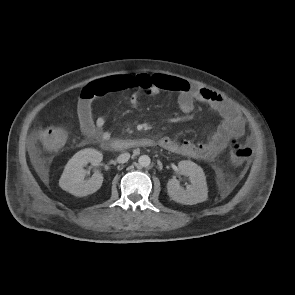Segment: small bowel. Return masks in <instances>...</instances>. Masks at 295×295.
I'll use <instances>...</instances> for the list:
<instances>
[{"label": "small bowel", "instance_id": "c3829d8e", "mask_svg": "<svg viewBox=\"0 0 295 295\" xmlns=\"http://www.w3.org/2000/svg\"><path fill=\"white\" fill-rule=\"evenodd\" d=\"M123 90L131 91L129 103L133 107H139L145 96L170 91L177 94L178 105L186 114L194 110L196 102H201L207 104L221 116L220 125L205 141L177 142L167 136L161 138L159 145L170 152L210 161L224 150L230 140L244 134L245 123L239 111L234 105L224 100L220 94L191 85L188 81L174 76L140 74L135 76L113 75L96 79L82 89L77 104V115L81 133L85 137L94 138L100 142L110 139L111 134L105 129V117L93 118L92 103L97 97Z\"/></svg>", "mask_w": 295, "mask_h": 295}]
</instances>
